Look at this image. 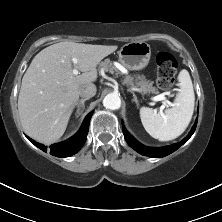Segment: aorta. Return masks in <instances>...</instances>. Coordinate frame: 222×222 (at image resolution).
<instances>
[{
    "instance_id": "obj_1",
    "label": "aorta",
    "mask_w": 222,
    "mask_h": 222,
    "mask_svg": "<svg viewBox=\"0 0 222 222\" xmlns=\"http://www.w3.org/2000/svg\"><path fill=\"white\" fill-rule=\"evenodd\" d=\"M103 105L105 108L110 110L119 109L121 106V99L116 93H109L105 96L103 100Z\"/></svg>"
}]
</instances>
